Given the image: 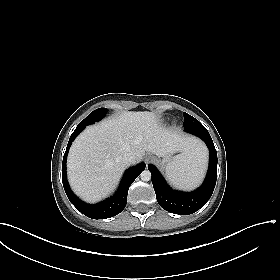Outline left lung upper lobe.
Wrapping results in <instances>:
<instances>
[{"label": "left lung upper lobe", "instance_id": "5c2ea615", "mask_svg": "<svg viewBox=\"0 0 280 280\" xmlns=\"http://www.w3.org/2000/svg\"><path fill=\"white\" fill-rule=\"evenodd\" d=\"M204 127L197 119L184 112V128L189 130L192 128Z\"/></svg>", "mask_w": 280, "mask_h": 280}]
</instances>
